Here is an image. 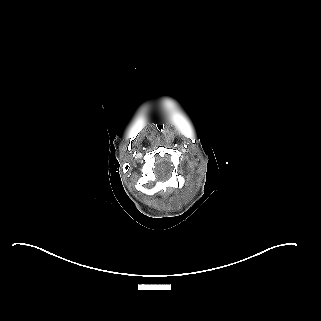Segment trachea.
<instances>
[{
  "label": "trachea",
  "mask_w": 321,
  "mask_h": 321,
  "mask_svg": "<svg viewBox=\"0 0 321 321\" xmlns=\"http://www.w3.org/2000/svg\"><path fill=\"white\" fill-rule=\"evenodd\" d=\"M155 130L160 131V132L163 130V120L162 119L156 120Z\"/></svg>",
  "instance_id": "3493384b"
}]
</instances>
